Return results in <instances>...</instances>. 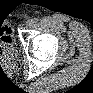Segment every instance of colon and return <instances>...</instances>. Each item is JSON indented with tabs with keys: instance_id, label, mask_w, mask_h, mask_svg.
<instances>
[{
	"instance_id": "5ec220e1",
	"label": "colon",
	"mask_w": 93,
	"mask_h": 93,
	"mask_svg": "<svg viewBox=\"0 0 93 93\" xmlns=\"http://www.w3.org/2000/svg\"><path fill=\"white\" fill-rule=\"evenodd\" d=\"M2 43H3V47H4V49H5V48H7V46L9 45V40L6 39V38H4L3 41H2Z\"/></svg>"
}]
</instances>
